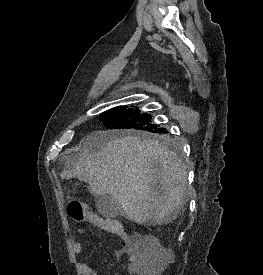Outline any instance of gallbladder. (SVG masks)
I'll list each match as a JSON object with an SVG mask.
<instances>
[{"label": "gallbladder", "mask_w": 263, "mask_h": 275, "mask_svg": "<svg viewBox=\"0 0 263 275\" xmlns=\"http://www.w3.org/2000/svg\"><path fill=\"white\" fill-rule=\"evenodd\" d=\"M96 206L103 217L115 218L124 213L121 204L109 194L96 196Z\"/></svg>", "instance_id": "1"}]
</instances>
